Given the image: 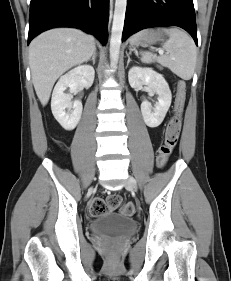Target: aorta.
<instances>
[{"label":"aorta","mask_w":231,"mask_h":281,"mask_svg":"<svg viewBox=\"0 0 231 281\" xmlns=\"http://www.w3.org/2000/svg\"><path fill=\"white\" fill-rule=\"evenodd\" d=\"M126 7L127 0L115 1V10L110 38V59L113 67H116L119 59Z\"/></svg>","instance_id":"obj_1"}]
</instances>
